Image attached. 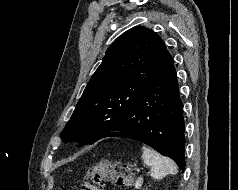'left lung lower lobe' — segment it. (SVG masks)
I'll return each instance as SVG.
<instances>
[{
    "label": "left lung lower lobe",
    "mask_w": 238,
    "mask_h": 190,
    "mask_svg": "<svg viewBox=\"0 0 238 190\" xmlns=\"http://www.w3.org/2000/svg\"><path fill=\"white\" fill-rule=\"evenodd\" d=\"M184 133L183 104L172 60L101 138L121 136L138 140L172 158L184 171Z\"/></svg>",
    "instance_id": "0a47b994"
}]
</instances>
